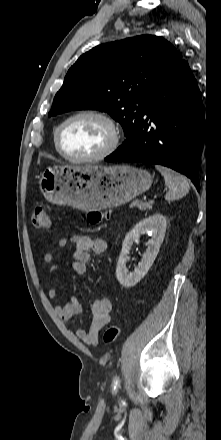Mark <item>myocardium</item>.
Wrapping results in <instances>:
<instances>
[{"mask_svg":"<svg viewBox=\"0 0 221 440\" xmlns=\"http://www.w3.org/2000/svg\"><path fill=\"white\" fill-rule=\"evenodd\" d=\"M80 117H93V118H97L101 121H103L109 131H110V139L109 142L107 144V146L98 154L92 155V156H88V157H72L68 154H66L62 147H61V142H60V138H61V133L63 128L71 121H73L74 119L80 118ZM119 130L118 127L116 125V123L114 122V120L105 112L99 111V110H94V109H87V110H81L78 111L72 115H70L69 117H67L65 120H63L58 127L55 130L54 133V142H55V147L56 150L58 151V153L66 160L73 162V163H90V162H96V161H100L105 159L106 157L110 156L118 147V143H119Z\"/></svg>","mask_w":221,"mask_h":440,"instance_id":"myocardium-1","label":"myocardium"}]
</instances>
